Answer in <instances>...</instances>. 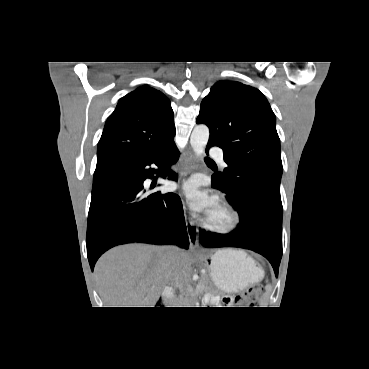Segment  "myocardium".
Here are the masks:
<instances>
[{
	"label": "myocardium",
	"mask_w": 369,
	"mask_h": 369,
	"mask_svg": "<svg viewBox=\"0 0 369 369\" xmlns=\"http://www.w3.org/2000/svg\"><path fill=\"white\" fill-rule=\"evenodd\" d=\"M214 206L226 216V221L221 224L216 223L207 214L202 220L203 226L207 230L217 234H230L235 231L240 222L238 211L223 198H216Z\"/></svg>",
	"instance_id": "f54148a6"
}]
</instances>
